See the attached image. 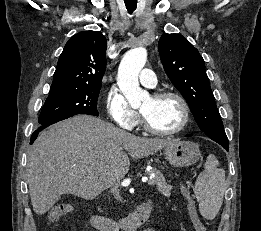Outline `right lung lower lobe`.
I'll return each instance as SVG.
<instances>
[{
  "instance_id": "98d812e1",
  "label": "right lung lower lobe",
  "mask_w": 261,
  "mask_h": 231,
  "mask_svg": "<svg viewBox=\"0 0 261 231\" xmlns=\"http://www.w3.org/2000/svg\"><path fill=\"white\" fill-rule=\"evenodd\" d=\"M63 119H66V118H63ZM63 119H60V120H56V121H53V122H50V123H47V124H44V125H41L31 136V139H30V144H33L34 140L37 138L38 136V133L40 131H42L44 128L48 127L49 125H52L58 121H61Z\"/></svg>"
}]
</instances>
